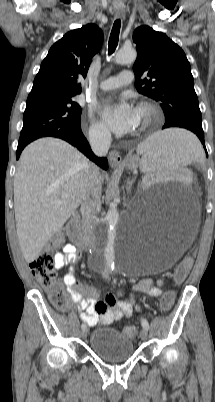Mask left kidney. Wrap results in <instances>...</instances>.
<instances>
[{
	"label": "left kidney",
	"instance_id": "1",
	"mask_svg": "<svg viewBox=\"0 0 215 402\" xmlns=\"http://www.w3.org/2000/svg\"><path fill=\"white\" fill-rule=\"evenodd\" d=\"M193 175L194 172L192 169H170L169 171L166 169H160L159 171L157 169H147L145 171L147 178H156L158 181L167 180L168 178L171 180H176L175 178H192ZM146 185L152 186L153 180L147 179Z\"/></svg>",
	"mask_w": 215,
	"mask_h": 402
}]
</instances>
